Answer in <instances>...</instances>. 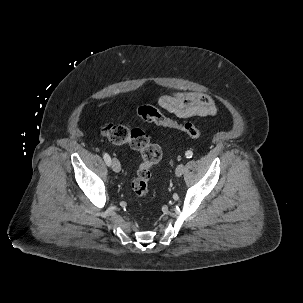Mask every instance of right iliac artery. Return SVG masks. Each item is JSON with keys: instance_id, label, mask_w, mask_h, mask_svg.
<instances>
[{"instance_id": "1", "label": "right iliac artery", "mask_w": 303, "mask_h": 303, "mask_svg": "<svg viewBox=\"0 0 303 303\" xmlns=\"http://www.w3.org/2000/svg\"><path fill=\"white\" fill-rule=\"evenodd\" d=\"M103 158H104L106 164H107L108 166H110V165H111V158H110L109 154L104 153V154H103Z\"/></svg>"}]
</instances>
